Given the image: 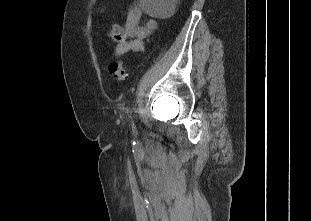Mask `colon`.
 I'll return each instance as SVG.
<instances>
[{
    "label": "colon",
    "mask_w": 311,
    "mask_h": 221,
    "mask_svg": "<svg viewBox=\"0 0 311 221\" xmlns=\"http://www.w3.org/2000/svg\"><path fill=\"white\" fill-rule=\"evenodd\" d=\"M107 32L111 40L116 42L124 41L123 34L117 29L116 24H112L107 27ZM109 73L113 80L117 83H122L126 81L128 77L127 68L119 61L111 62L109 64Z\"/></svg>",
    "instance_id": "colon-1"
}]
</instances>
